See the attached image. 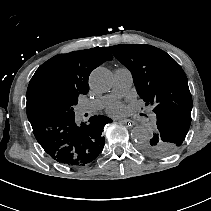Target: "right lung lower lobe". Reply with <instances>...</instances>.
Returning a JSON list of instances; mask_svg holds the SVG:
<instances>
[{"mask_svg": "<svg viewBox=\"0 0 211 211\" xmlns=\"http://www.w3.org/2000/svg\"><path fill=\"white\" fill-rule=\"evenodd\" d=\"M112 120L99 115L80 125L72 117H50L31 124L44 151L68 166H84L94 161L104 147L103 127Z\"/></svg>", "mask_w": 211, "mask_h": 211, "instance_id": "right-lung-lower-lobe-1", "label": "right lung lower lobe"}]
</instances>
